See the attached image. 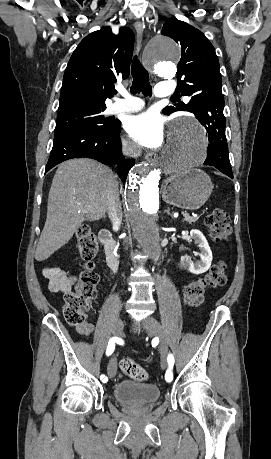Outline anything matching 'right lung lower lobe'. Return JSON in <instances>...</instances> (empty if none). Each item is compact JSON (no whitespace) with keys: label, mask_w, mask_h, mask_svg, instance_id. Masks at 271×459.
Instances as JSON below:
<instances>
[{"label":"right lung lower lobe","mask_w":271,"mask_h":459,"mask_svg":"<svg viewBox=\"0 0 271 459\" xmlns=\"http://www.w3.org/2000/svg\"><path fill=\"white\" fill-rule=\"evenodd\" d=\"M119 130L120 121L109 129L77 128L55 135L45 173L65 160L86 157L106 165L118 163V175L125 182L134 161H123Z\"/></svg>","instance_id":"right-lung-lower-lobe-1"}]
</instances>
